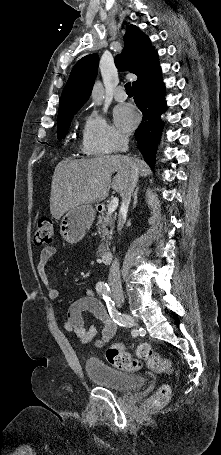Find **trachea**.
<instances>
[{
  "mask_svg": "<svg viewBox=\"0 0 221 455\" xmlns=\"http://www.w3.org/2000/svg\"><path fill=\"white\" fill-rule=\"evenodd\" d=\"M125 90L127 93H133L132 87H131V82H128L125 84Z\"/></svg>",
  "mask_w": 221,
  "mask_h": 455,
  "instance_id": "obj_1",
  "label": "trachea"
}]
</instances>
